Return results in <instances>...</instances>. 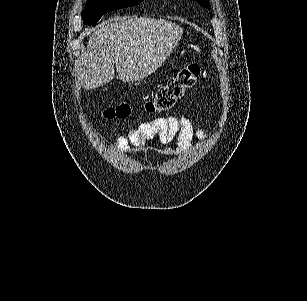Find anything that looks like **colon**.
I'll use <instances>...</instances> for the list:
<instances>
[{"label":"colon","instance_id":"5ec220e1","mask_svg":"<svg viewBox=\"0 0 307 301\" xmlns=\"http://www.w3.org/2000/svg\"><path fill=\"white\" fill-rule=\"evenodd\" d=\"M200 72L201 68L198 63L187 64L169 78L152 98L145 100L139 107L151 113L173 108L185 93L196 84ZM132 109L133 106L129 102L122 101L116 106L106 109L104 116L108 119L125 118L131 114Z\"/></svg>","mask_w":307,"mask_h":301}]
</instances>
